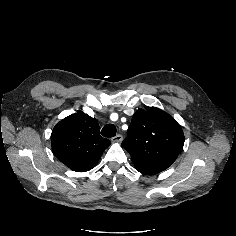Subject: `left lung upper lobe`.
I'll list each match as a JSON object with an SVG mask.
<instances>
[{
  "mask_svg": "<svg viewBox=\"0 0 236 236\" xmlns=\"http://www.w3.org/2000/svg\"><path fill=\"white\" fill-rule=\"evenodd\" d=\"M183 145L184 133L179 124L156 107L136 111L122 142L135 168L147 175H155L171 166Z\"/></svg>",
  "mask_w": 236,
  "mask_h": 236,
  "instance_id": "left-lung-upper-lobe-1",
  "label": "left lung upper lobe"
}]
</instances>
